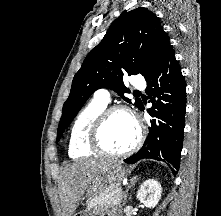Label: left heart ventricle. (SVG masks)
I'll list each match as a JSON object with an SVG mask.
<instances>
[{
  "label": "left heart ventricle",
  "mask_w": 221,
  "mask_h": 216,
  "mask_svg": "<svg viewBox=\"0 0 221 216\" xmlns=\"http://www.w3.org/2000/svg\"><path fill=\"white\" fill-rule=\"evenodd\" d=\"M137 130L132 119L125 113L113 114L106 122L101 141L105 148L119 152L130 147L136 140Z\"/></svg>",
  "instance_id": "obj_1"
}]
</instances>
